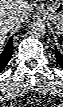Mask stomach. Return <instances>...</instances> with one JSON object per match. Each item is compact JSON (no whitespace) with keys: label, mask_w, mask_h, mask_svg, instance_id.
Returning <instances> with one entry per match:
<instances>
[{"label":"stomach","mask_w":63,"mask_h":107,"mask_svg":"<svg viewBox=\"0 0 63 107\" xmlns=\"http://www.w3.org/2000/svg\"><path fill=\"white\" fill-rule=\"evenodd\" d=\"M36 11L53 22L59 33H63V0L40 4L36 7Z\"/></svg>","instance_id":"stomach-1"}]
</instances>
